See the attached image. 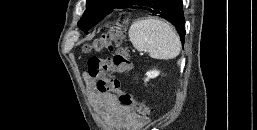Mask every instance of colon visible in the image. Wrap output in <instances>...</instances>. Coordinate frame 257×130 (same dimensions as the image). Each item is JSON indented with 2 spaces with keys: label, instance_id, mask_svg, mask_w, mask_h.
Instances as JSON below:
<instances>
[{
  "label": "colon",
  "instance_id": "5ec220e1",
  "mask_svg": "<svg viewBox=\"0 0 257 130\" xmlns=\"http://www.w3.org/2000/svg\"><path fill=\"white\" fill-rule=\"evenodd\" d=\"M126 33V20L124 18L114 21L106 32L84 46L85 52H100L111 48L114 43V52L111 57L100 58L93 56L88 61V74L96 81V88L101 93H114L118 95L120 103L125 107L133 108L139 116L147 119L151 109L144 102L137 101L135 97L122 89L121 82L116 73H126L133 68L127 49L122 41Z\"/></svg>",
  "mask_w": 257,
  "mask_h": 130
}]
</instances>
